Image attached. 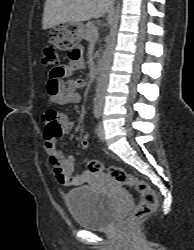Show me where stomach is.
<instances>
[{"mask_svg":"<svg viewBox=\"0 0 194 250\" xmlns=\"http://www.w3.org/2000/svg\"><path fill=\"white\" fill-rule=\"evenodd\" d=\"M52 29V43L62 51L72 50L84 37V25L80 22L63 23Z\"/></svg>","mask_w":194,"mask_h":250,"instance_id":"0dacf381","label":"stomach"}]
</instances>
